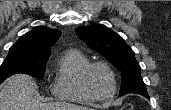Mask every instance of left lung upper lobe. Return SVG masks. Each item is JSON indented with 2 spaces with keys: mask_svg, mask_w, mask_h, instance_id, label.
<instances>
[{
  "mask_svg": "<svg viewBox=\"0 0 171 110\" xmlns=\"http://www.w3.org/2000/svg\"><path fill=\"white\" fill-rule=\"evenodd\" d=\"M76 33L91 49L104 55L121 71L120 96L137 93L149 98L140 75L141 67L136 61L133 50L121 36L100 24L80 26L76 28Z\"/></svg>",
  "mask_w": 171,
  "mask_h": 110,
  "instance_id": "obj_1",
  "label": "left lung upper lobe"
}]
</instances>
